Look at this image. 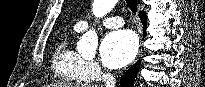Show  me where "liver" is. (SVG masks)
<instances>
[{"mask_svg": "<svg viewBox=\"0 0 205 87\" xmlns=\"http://www.w3.org/2000/svg\"><path fill=\"white\" fill-rule=\"evenodd\" d=\"M48 87H93L91 85L88 84H73L71 82H61V83H56V84H51Z\"/></svg>", "mask_w": 205, "mask_h": 87, "instance_id": "1", "label": "liver"}]
</instances>
